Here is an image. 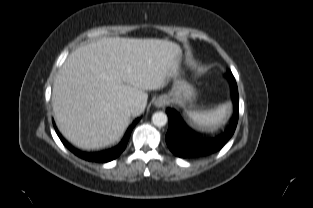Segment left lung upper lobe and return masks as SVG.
Masks as SVG:
<instances>
[{
	"instance_id": "1",
	"label": "left lung upper lobe",
	"mask_w": 313,
	"mask_h": 208,
	"mask_svg": "<svg viewBox=\"0 0 313 208\" xmlns=\"http://www.w3.org/2000/svg\"><path fill=\"white\" fill-rule=\"evenodd\" d=\"M229 75H230L232 78H234L231 72H229Z\"/></svg>"
}]
</instances>
